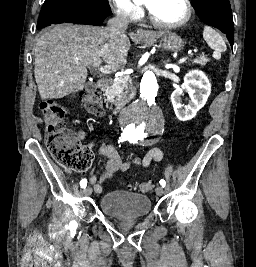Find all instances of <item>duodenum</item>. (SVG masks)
I'll list each match as a JSON object with an SVG mask.
<instances>
[{
	"mask_svg": "<svg viewBox=\"0 0 256 267\" xmlns=\"http://www.w3.org/2000/svg\"><path fill=\"white\" fill-rule=\"evenodd\" d=\"M109 84L110 80L107 77H101L97 80V86L102 91L106 90L109 87ZM127 103V99H120L119 101H114L111 105L110 113L117 114Z\"/></svg>",
	"mask_w": 256,
	"mask_h": 267,
	"instance_id": "410a0bca",
	"label": "duodenum"
}]
</instances>
